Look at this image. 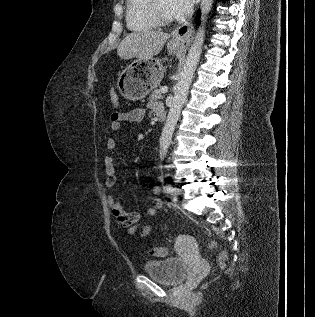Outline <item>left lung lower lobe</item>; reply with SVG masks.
Listing matches in <instances>:
<instances>
[{
	"instance_id": "obj_1",
	"label": "left lung lower lobe",
	"mask_w": 315,
	"mask_h": 317,
	"mask_svg": "<svg viewBox=\"0 0 315 317\" xmlns=\"http://www.w3.org/2000/svg\"><path fill=\"white\" fill-rule=\"evenodd\" d=\"M200 22V12H198V14H197V23H199Z\"/></svg>"
}]
</instances>
